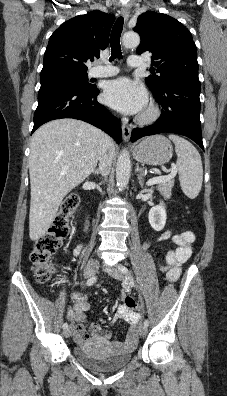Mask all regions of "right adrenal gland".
Segmentation results:
<instances>
[{
    "label": "right adrenal gland",
    "instance_id": "obj_1",
    "mask_svg": "<svg viewBox=\"0 0 227 396\" xmlns=\"http://www.w3.org/2000/svg\"><path fill=\"white\" fill-rule=\"evenodd\" d=\"M92 173H93L94 175H98V174H100V170H99V169H94V170L92 171Z\"/></svg>",
    "mask_w": 227,
    "mask_h": 396
}]
</instances>
